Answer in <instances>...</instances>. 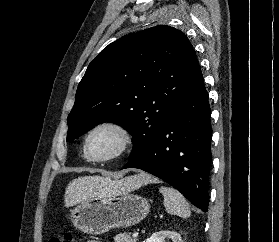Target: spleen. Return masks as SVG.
I'll use <instances>...</instances> for the list:
<instances>
[{
    "label": "spleen",
    "instance_id": "1",
    "mask_svg": "<svg viewBox=\"0 0 279 242\" xmlns=\"http://www.w3.org/2000/svg\"><path fill=\"white\" fill-rule=\"evenodd\" d=\"M160 193L164 197V206L168 213L183 218L190 216V207L185 197L172 187L161 186Z\"/></svg>",
    "mask_w": 279,
    "mask_h": 242
}]
</instances>
